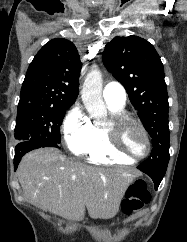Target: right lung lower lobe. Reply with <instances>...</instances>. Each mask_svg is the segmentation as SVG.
<instances>
[{
	"label": "right lung lower lobe",
	"mask_w": 187,
	"mask_h": 242,
	"mask_svg": "<svg viewBox=\"0 0 187 242\" xmlns=\"http://www.w3.org/2000/svg\"><path fill=\"white\" fill-rule=\"evenodd\" d=\"M41 147H57V148H60L59 145H56V144H45V143L35 142V141L19 142L16 145V148H15V157H14V168H15V170L17 169V166H18L19 162L21 161V158L23 157V155H25L27 152H29L31 150L41 148Z\"/></svg>",
	"instance_id": "98d812e1"
}]
</instances>
